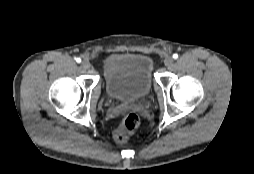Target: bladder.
Masks as SVG:
<instances>
[{"label":"bladder","instance_id":"31cf9c89","mask_svg":"<svg viewBox=\"0 0 254 174\" xmlns=\"http://www.w3.org/2000/svg\"><path fill=\"white\" fill-rule=\"evenodd\" d=\"M107 94L120 101H136L152 89V60L145 54H122L104 68Z\"/></svg>","mask_w":254,"mask_h":174}]
</instances>
